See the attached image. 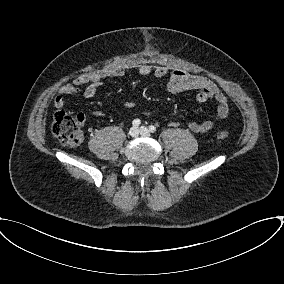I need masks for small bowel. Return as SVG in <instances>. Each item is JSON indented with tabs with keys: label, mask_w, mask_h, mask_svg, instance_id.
<instances>
[{
	"label": "small bowel",
	"mask_w": 284,
	"mask_h": 284,
	"mask_svg": "<svg viewBox=\"0 0 284 284\" xmlns=\"http://www.w3.org/2000/svg\"><path fill=\"white\" fill-rule=\"evenodd\" d=\"M128 67H115L106 70H95L79 75L71 83L62 86L54 99V106L62 108L65 99L69 95L83 94L87 99L96 96L104 80L108 78H120L126 74ZM134 69L141 75H153L157 78L167 77V89L174 94H180L187 91H197L196 99L198 102H205L213 99L217 103V108L212 120L204 122H190L188 128L195 133H207L214 128L215 120L225 119L229 114L228 99L220 88L205 76L190 74L186 71L175 69L168 70L163 66H151L147 64H138ZM93 115L103 116L100 110H93ZM170 125L178 126V122L172 121Z\"/></svg>",
	"instance_id": "1"
}]
</instances>
